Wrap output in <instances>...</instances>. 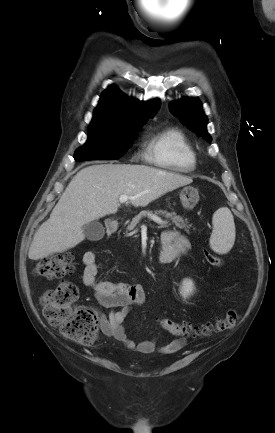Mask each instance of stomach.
I'll use <instances>...</instances> for the list:
<instances>
[{"label": "stomach", "mask_w": 275, "mask_h": 433, "mask_svg": "<svg viewBox=\"0 0 275 433\" xmlns=\"http://www.w3.org/2000/svg\"><path fill=\"white\" fill-rule=\"evenodd\" d=\"M180 200L184 208L192 210L199 201L198 190L194 187H184L180 192Z\"/></svg>", "instance_id": "0dacf381"}]
</instances>
